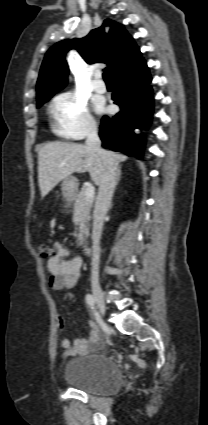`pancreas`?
<instances>
[{"label": "pancreas", "instance_id": "obj_1", "mask_svg": "<svg viewBox=\"0 0 208 425\" xmlns=\"http://www.w3.org/2000/svg\"><path fill=\"white\" fill-rule=\"evenodd\" d=\"M87 187H83L78 193L73 209V222L76 225V230L73 236L77 239V247L83 246L85 238L89 235L90 213L93 206L94 198L87 199L85 196Z\"/></svg>", "mask_w": 208, "mask_h": 425}]
</instances>
